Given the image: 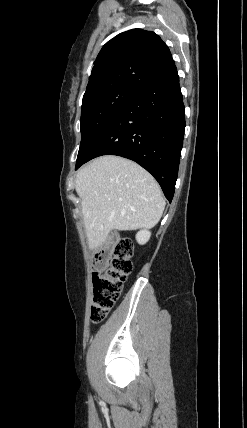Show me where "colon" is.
<instances>
[{
	"label": "colon",
	"instance_id": "1",
	"mask_svg": "<svg viewBox=\"0 0 247 428\" xmlns=\"http://www.w3.org/2000/svg\"><path fill=\"white\" fill-rule=\"evenodd\" d=\"M133 246L128 238H118L112 246L95 253L99 271L93 276V304L91 320L101 322L118 300L123 284L132 271L130 260Z\"/></svg>",
	"mask_w": 247,
	"mask_h": 428
}]
</instances>
